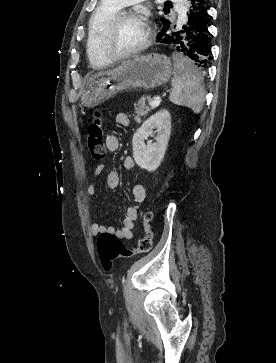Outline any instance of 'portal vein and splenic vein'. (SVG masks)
Returning <instances> with one entry per match:
<instances>
[{"label":"portal vein and splenic vein","instance_id":"portal-vein-and-splenic-vein-1","mask_svg":"<svg viewBox=\"0 0 276 363\" xmlns=\"http://www.w3.org/2000/svg\"><path fill=\"white\" fill-rule=\"evenodd\" d=\"M159 104H160V100H158V99H155V100H152L149 102V105L151 107H157Z\"/></svg>","mask_w":276,"mask_h":363}]
</instances>
